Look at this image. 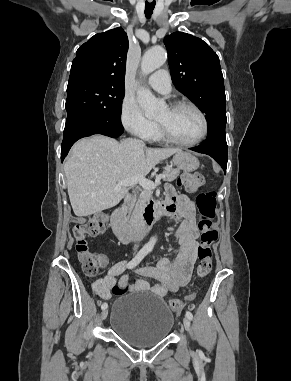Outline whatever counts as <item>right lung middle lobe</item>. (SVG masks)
Here are the masks:
<instances>
[{
	"label": "right lung middle lobe",
	"mask_w": 291,
	"mask_h": 381,
	"mask_svg": "<svg viewBox=\"0 0 291 381\" xmlns=\"http://www.w3.org/2000/svg\"><path fill=\"white\" fill-rule=\"evenodd\" d=\"M124 87L86 81L68 83L66 122L78 120L84 127L120 121Z\"/></svg>",
	"instance_id": "1"
}]
</instances>
